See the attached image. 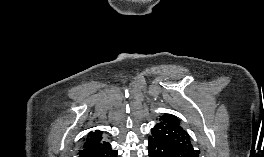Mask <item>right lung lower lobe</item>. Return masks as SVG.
Wrapping results in <instances>:
<instances>
[{"mask_svg":"<svg viewBox=\"0 0 264 157\" xmlns=\"http://www.w3.org/2000/svg\"><path fill=\"white\" fill-rule=\"evenodd\" d=\"M78 157H118L108 142L101 141L80 150Z\"/></svg>","mask_w":264,"mask_h":157,"instance_id":"right-lung-lower-lobe-1","label":"right lung lower lobe"}]
</instances>
